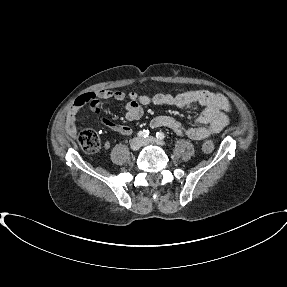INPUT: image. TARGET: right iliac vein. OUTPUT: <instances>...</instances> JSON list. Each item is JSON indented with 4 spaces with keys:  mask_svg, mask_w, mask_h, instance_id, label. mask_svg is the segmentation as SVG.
Masks as SVG:
<instances>
[{
    "mask_svg": "<svg viewBox=\"0 0 287 287\" xmlns=\"http://www.w3.org/2000/svg\"><path fill=\"white\" fill-rule=\"evenodd\" d=\"M142 146V140L139 137H135L130 142V148L133 151H137Z\"/></svg>",
    "mask_w": 287,
    "mask_h": 287,
    "instance_id": "1",
    "label": "right iliac vein"
}]
</instances>
